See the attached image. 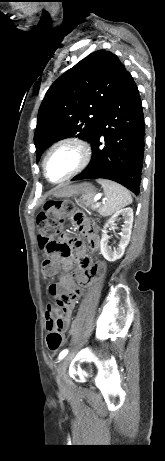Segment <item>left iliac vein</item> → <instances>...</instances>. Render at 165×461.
Instances as JSON below:
<instances>
[{"instance_id":"left-iliac-vein-1","label":"left iliac vein","mask_w":165,"mask_h":461,"mask_svg":"<svg viewBox=\"0 0 165 461\" xmlns=\"http://www.w3.org/2000/svg\"><path fill=\"white\" fill-rule=\"evenodd\" d=\"M72 356L67 355L59 364L57 370V383L62 390L66 389L67 386V375L66 370L69 366Z\"/></svg>"}]
</instances>
